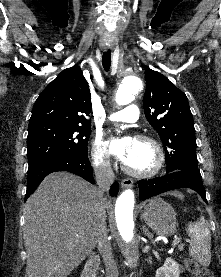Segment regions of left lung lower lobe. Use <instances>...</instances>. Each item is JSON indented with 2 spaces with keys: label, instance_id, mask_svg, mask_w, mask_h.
<instances>
[{
  "label": "left lung lower lobe",
  "instance_id": "1",
  "mask_svg": "<svg viewBox=\"0 0 221 277\" xmlns=\"http://www.w3.org/2000/svg\"><path fill=\"white\" fill-rule=\"evenodd\" d=\"M138 186L140 199H147L174 189L190 188L195 190L207 202L202 177L194 176L187 171L179 170L167 173L162 177L140 180Z\"/></svg>",
  "mask_w": 221,
  "mask_h": 277
}]
</instances>
